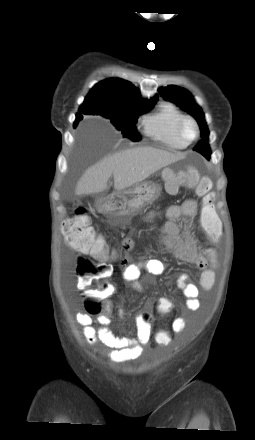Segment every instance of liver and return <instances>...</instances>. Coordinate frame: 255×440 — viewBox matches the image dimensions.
Instances as JSON below:
<instances>
[{"instance_id": "liver-1", "label": "liver", "mask_w": 255, "mask_h": 440, "mask_svg": "<svg viewBox=\"0 0 255 440\" xmlns=\"http://www.w3.org/2000/svg\"><path fill=\"white\" fill-rule=\"evenodd\" d=\"M183 157L182 153L153 147H137L108 155L84 172L77 183L75 194L89 195L105 191L112 175L114 188L122 191Z\"/></svg>"}]
</instances>
